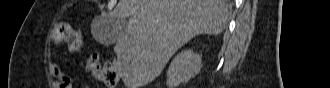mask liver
I'll return each mask as SVG.
<instances>
[{
  "label": "liver",
  "instance_id": "obj_1",
  "mask_svg": "<svg viewBox=\"0 0 330 88\" xmlns=\"http://www.w3.org/2000/svg\"><path fill=\"white\" fill-rule=\"evenodd\" d=\"M227 21V0H119L107 15L106 42L116 43L125 86L139 88L181 46L200 34H220Z\"/></svg>",
  "mask_w": 330,
  "mask_h": 88
}]
</instances>
